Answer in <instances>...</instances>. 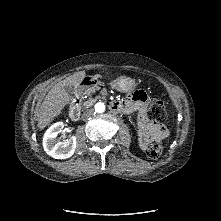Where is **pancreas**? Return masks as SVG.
<instances>
[{
  "label": "pancreas",
  "instance_id": "cf45deb5",
  "mask_svg": "<svg viewBox=\"0 0 221 221\" xmlns=\"http://www.w3.org/2000/svg\"><path fill=\"white\" fill-rule=\"evenodd\" d=\"M95 98H89V100H87V101H85L84 102V106H85V108H90V106H92L93 105V103H95Z\"/></svg>",
  "mask_w": 221,
  "mask_h": 221
}]
</instances>
